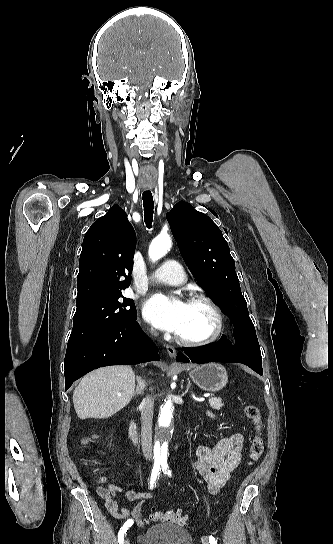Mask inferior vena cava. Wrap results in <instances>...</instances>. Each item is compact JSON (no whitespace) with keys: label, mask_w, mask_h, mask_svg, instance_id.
Listing matches in <instances>:
<instances>
[{"label":"inferior vena cava","mask_w":333,"mask_h":544,"mask_svg":"<svg viewBox=\"0 0 333 544\" xmlns=\"http://www.w3.org/2000/svg\"><path fill=\"white\" fill-rule=\"evenodd\" d=\"M154 399L145 397L141 402V445L143 455L146 459H152V419Z\"/></svg>","instance_id":"602c4592"}]
</instances>
